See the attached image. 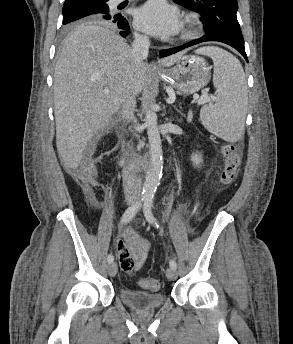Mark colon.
Masks as SVG:
<instances>
[{
    "label": "colon",
    "mask_w": 293,
    "mask_h": 344,
    "mask_svg": "<svg viewBox=\"0 0 293 344\" xmlns=\"http://www.w3.org/2000/svg\"><path fill=\"white\" fill-rule=\"evenodd\" d=\"M221 152L224 156V168L221 173V183L230 185L236 178L241 163V153L239 148L232 143H226L221 147ZM141 286L155 291L159 288L160 284L154 279H143L140 282Z\"/></svg>",
    "instance_id": "colon-1"
}]
</instances>
